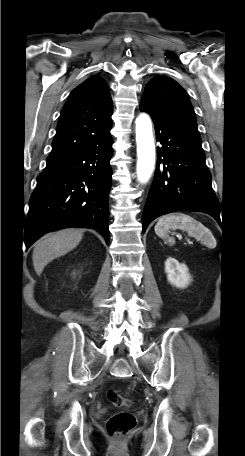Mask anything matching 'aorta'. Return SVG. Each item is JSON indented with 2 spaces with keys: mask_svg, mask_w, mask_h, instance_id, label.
Returning <instances> with one entry per match:
<instances>
[{
  "mask_svg": "<svg viewBox=\"0 0 245 456\" xmlns=\"http://www.w3.org/2000/svg\"><path fill=\"white\" fill-rule=\"evenodd\" d=\"M137 180L141 184L149 181L155 167V144L150 117L142 113L136 119Z\"/></svg>",
  "mask_w": 245,
  "mask_h": 456,
  "instance_id": "1",
  "label": "aorta"
}]
</instances>
